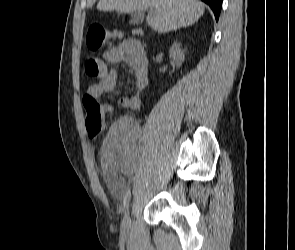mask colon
Here are the masks:
<instances>
[{
	"label": "colon",
	"mask_w": 295,
	"mask_h": 250,
	"mask_svg": "<svg viewBox=\"0 0 295 250\" xmlns=\"http://www.w3.org/2000/svg\"><path fill=\"white\" fill-rule=\"evenodd\" d=\"M117 34L108 32L100 25H93L89 28L87 33V45L92 51H96L103 46V44ZM84 70L86 75L90 77H98L102 70V63L94 55H89L84 60ZM83 105L86 110V129L89 137L99 136L105 128L106 110L100 105L95 98L86 95L83 99Z\"/></svg>",
	"instance_id": "obj_1"
}]
</instances>
